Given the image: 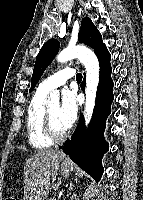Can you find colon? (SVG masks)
<instances>
[{
  "label": "colon",
  "mask_w": 143,
  "mask_h": 200,
  "mask_svg": "<svg viewBox=\"0 0 143 200\" xmlns=\"http://www.w3.org/2000/svg\"><path fill=\"white\" fill-rule=\"evenodd\" d=\"M6 200H15L14 198H7Z\"/></svg>",
  "instance_id": "colon-1"
}]
</instances>
